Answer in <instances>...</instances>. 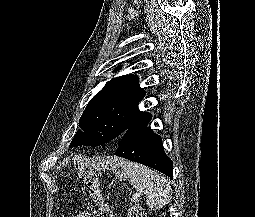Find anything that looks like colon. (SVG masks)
<instances>
[{"label":"colon","instance_id":"5ec220e1","mask_svg":"<svg viewBox=\"0 0 255 217\" xmlns=\"http://www.w3.org/2000/svg\"><path fill=\"white\" fill-rule=\"evenodd\" d=\"M89 193L93 198L94 202L99 206L100 209H104L105 203L99 191L97 184L94 182L88 183ZM128 217H143V210L138 205H133L128 211Z\"/></svg>","mask_w":255,"mask_h":217}]
</instances>
